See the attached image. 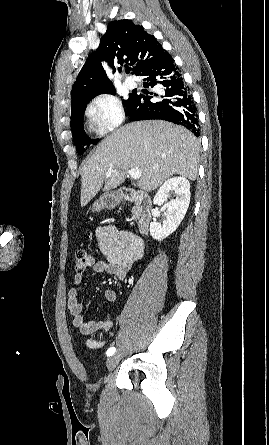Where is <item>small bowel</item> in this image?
<instances>
[{"label": "small bowel", "instance_id": "obj_1", "mask_svg": "<svg viewBox=\"0 0 269 445\" xmlns=\"http://www.w3.org/2000/svg\"><path fill=\"white\" fill-rule=\"evenodd\" d=\"M96 239L105 260L93 263L88 269V273L94 276L108 273L115 275L119 280H124L132 266L143 255L144 244L142 239L131 232L119 230L113 225L97 228ZM84 277L85 272H77L73 279L74 285H81ZM103 298L115 305L119 299L117 292L112 289L104 290ZM68 308L73 317V325L83 335H90L108 329L114 324L115 311L110 312L103 322L94 319L85 320L83 317L84 307L79 299L77 287L71 288L68 292ZM104 344V340L90 339L86 342L87 348L91 350L99 349Z\"/></svg>", "mask_w": 269, "mask_h": 445}]
</instances>
